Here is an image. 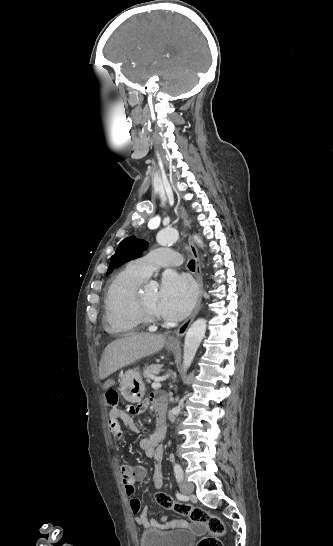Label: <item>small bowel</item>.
Masks as SVG:
<instances>
[{
  "label": "small bowel",
  "mask_w": 333,
  "mask_h": 546,
  "mask_svg": "<svg viewBox=\"0 0 333 546\" xmlns=\"http://www.w3.org/2000/svg\"><path fill=\"white\" fill-rule=\"evenodd\" d=\"M104 384L106 388L113 389L116 387L117 382L115 379L109 378L105 380ZM149 405H151L155 409L157 417L163 419L164 428L162 433H158L155 430V432L150 437L142 438L139 441V446L145 452L147 457L153 458L154 465L152 473V484L155 488H161L163 486L162 457L164 452L161 441L163 440L166 433L165 398L162 394L152 393L147 399L138 404L136 407H132L131 413H142L148 408ZM120 422H123L126 426H128L131 431L136 433L139 432V427L136 425L130 415L118 408H113L108 414V426L114 440L121 441L122 439ZM120 473L122 476L125 491L128 496L132 497L135 494V483L145 478L146 469L140 465L131 466L128 464H123L120 467ZM130 509L132 513L136 515V524L142 526L143 528H149L152 526L158 530L163 531L181 527L183 526V524H185L184 520L169 521L167 516H162L160 522L155 521L154 519L149 517V507L145 506L141 508V503L137 499H131Z\"/></svg>",
  "instance_id": "small-bowel-1"
}]
</instances>
